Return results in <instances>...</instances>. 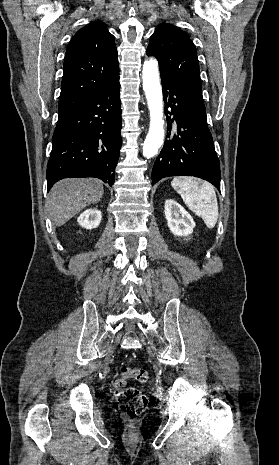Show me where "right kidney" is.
I'll list each match as a JSON object with an SVG mask.
<instances>
[{"instance_id": "obj_1", "label": "right kidney", "mask_w": 279, "mask_h": 465, "mask_svg": "<svg viewBox=\"0 0 279 465\" xmlns=\"http://www.w3.org/2000/svg\"><path fill=\"white\" fill-rule=\"evenodd\" d=\"M102 219V213L97 208L85 210L77 219L78 224L86 229H94L99 226Z\"/></svg>"}]
</instances>
